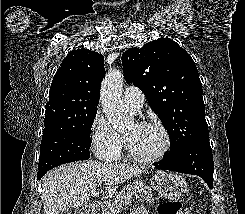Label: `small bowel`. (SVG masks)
<instances>
[{
  "label": "small bowel",
  "instance_id": "small-bowel-1",
  "mask_svg": "<svg viewBox=\"0 0 245 214\" xmlns=\"http://www.w3.org/2000/svg\"><path fill=\"white\" fill-rule=\"evenodd\" d=\"M131 214H147L143 208H136Z\"/></svg>",
  "mask_w": 245,
  "mask_h": 214
}]
</instances>
